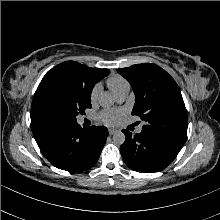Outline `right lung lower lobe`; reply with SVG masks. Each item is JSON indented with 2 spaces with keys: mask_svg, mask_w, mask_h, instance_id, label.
<instances>
[{
  "mask_svg": "<svg viewBox=\"0 0 220 220\" xmlns=\"http://www.w3.org/2000/svg\"><path fill=\"white\" fill-rule=\"evenodd\" d=\"M34 138L45 158L55 167L81 172L93 167L99 159L108 136L106 127L82 129L76 123L51 119L31 121Z\"/></svg>",
  "mask_w": 220,
  "mask_h": 220,
  "instance_id": "1",
  "label": "right lung lower lobe"
}]
</instances>
